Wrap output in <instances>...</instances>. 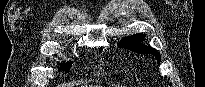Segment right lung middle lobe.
<instances>
[{
    "instance_id": "right-lung-middle-lobe-1",
    "label": "right lung middle lobe",
    "mask_w": 205,
    "mask_h": 87,
    "mask_svg": "<svg viewBox=\"0 0 205 87\" xmlns=\"http://www.w3.org/2000/svg\"><path fill=\"white\" fill-rule=\"evenodd\" d=\"M70 66H71L70 62L64 63L60 70L67 72L69 70Z\"/></svg>"
}]
</instances>
